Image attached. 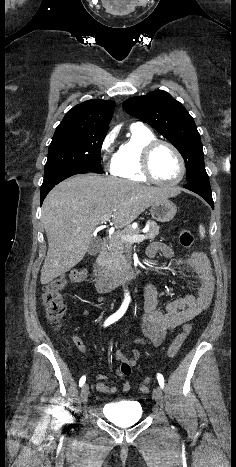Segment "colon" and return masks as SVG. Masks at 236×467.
<instances>
[{
  "mask_svg": "<svg viewBox=\"0 0 236 467\" xmlns=\"http://www.w3.org/2000/svg\"><path fill=\"white\" fill-rule=\"evenodd\" d=\"M179 241L183 247L191 248L194 243L193 233L186 228H183L179 232ZM84 271L81 269L72 270L64 276H60L44 286L43 289V304L45 307L46 315L48 320L54 325L55 328H60L63 324L66 308L62 300L61 291L69 284L79 282L84 278ZM192 331L191 324H185L182 327L181 332L176 336L174 341L168 348L167 354L170 358L176 356L181 345L186 340L187 336ZM75 343L78 344L79 340L75 339ZM149 379H145L140 384V391L142 393L148 392Z\"/></svg>",
  "mask_w": 236,
  "mask_h": 467,
  "instance_id": "1",
  "label": "colon"
}]
</instances>
